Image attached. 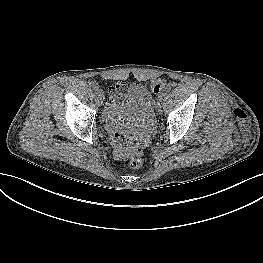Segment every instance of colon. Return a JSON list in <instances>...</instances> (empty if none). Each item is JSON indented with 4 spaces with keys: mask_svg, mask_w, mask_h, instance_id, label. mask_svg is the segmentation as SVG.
Returning a JSON list of instances; mask_svg holds the SVG:
<instances>
[{
    "mask_svg": "<svg viewBox=\"0 0 263 263\" xmlns=\"http://www.w3.org/2000/svg\"><path fill=\"white\" fill-rule=\"evenodd\" d=\"M162 83H156L154 85V90L155 91H160L161 88H162ZM113 113V112H112ZM112 138L115 140V141H121L123 140V135L120 134V133H113L112 134ZM129 165L131 168H134V169H137V168H140L142 165H143V159L140 155L136 156V157H133L130 162H129Z\"/></svg>",
    "mask_w": 263,
    "mask_h": 263,
    "instance_id": "1",
    "label": "colon"
}]
</instances>
